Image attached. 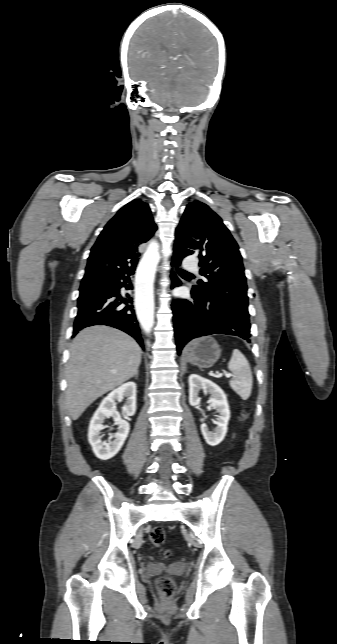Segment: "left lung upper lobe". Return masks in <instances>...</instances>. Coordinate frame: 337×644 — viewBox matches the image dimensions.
Listing matches in <instances>:
<instances>
[{"label": "left lung upper lobe", "instance_id": "left-lung-upper-lobe-1", "mask_svg": "<svg viewBox=\"0 0 337 644\" xmlns=\"http://www.w3.org/2000/svg\"><path fill=\"white\" fill-rule=\"evenodd\" d=\"M174 259L188 255L200 259L199 281L192 292L201 298L218 299L249 320L246 277L239 247L221 218L206 204L187 205L175 233Z\"/></svg>", "mask_w": 337, "mask_h": 644}]
</instances>
